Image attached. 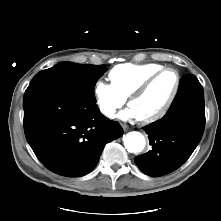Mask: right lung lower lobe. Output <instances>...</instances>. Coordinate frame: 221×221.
<instances>
[{
    "label": "right lung lower lobe",
    "instance_id": "98d812e1",
    "mask_svg": "<svg viewBox=\"0 0 221 221\" xmlns=\"http://www.w3.org/2000/svg\"><path fill=\"white\" fill-rule=\"evenodd\" d=\"M26 139L52 172L81 177L96 166L104 146L123 130L99 111L96 103L50 92L24 95Z\"/></svg>",
    "mask_w": 221,
    "mask_h": 221
}]
</instances>
